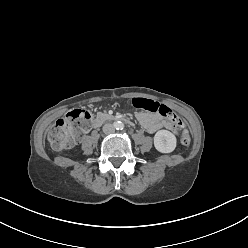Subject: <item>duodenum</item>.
Returning <instances> with one entry per match:
<instances>
[{
  "label": "duodenum",
  "mask_w": 248,
  "mask_h": 248,
  "mask_svg": "<svg viewBox=\"0 0 248 248\" xmlns=\"http://www.w3.org/2000/svg\"><path fill=\"white\" fill-rule=\"evenodd\" d=\"M122 121L126 123L127 125H132V121L126 117H121V116H112V115H102L96 119H94L91 123V126L93 128L99 127L102 123L105 121Z\"/></svg>",
  "instance_id": "410a0bca"
}]
</instances>
